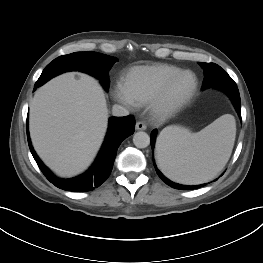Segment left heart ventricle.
Instances as JSON below:
<instances>
[{
    "instance_id": "obj_1",
    "label": "left heart ventricle",
    "mask_w": 263,
    "mask_h": 263,
    "mask_svg": "<svg viewBox=\"0 0 263 263\" xmlns=\"http://www.w3.org/2000/svg\"><path fill=\"white\" fill-rule=\"evenodd\" d=\"M193 82H194L193 76L190 74H187L182 78H180L171 90V94H170L171 98L177 99L185 96L191 89Z\"/></svg>"
}]
</instances>
